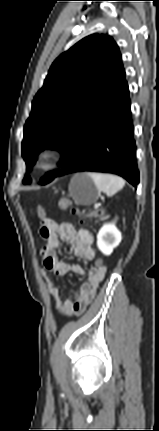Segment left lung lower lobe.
I'll use <instances>...</instances> for the list:
<instances>
[{
  "label": "left lung lower lobe",
  "instance_id": "0a47b994",
  "mask_svg": "<svg viewBox=\"0 0 159 431\" xmlns=\"http://www.w3.org/2000/svg\"><path fill=\"white\" fill-rule=\"evenodd\" d=\"M95 171L114 173L136 187L139 170L128 84L90 119L77 135L64 168L56 176Z\"/></svg>",
  "mask_w": 159,
  "mask_h": 431
}]
</instances>
